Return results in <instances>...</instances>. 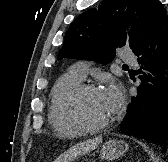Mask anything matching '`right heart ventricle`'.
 I'll return each instance as SVG.
<instances>
[{
    "label": "right heart ventricle",
    "mask_w": 168,
    "mask_h": 162,
    "mask_svg": "<svg viewBox=\"0 0 168 162\" xmlns=\"http://www.w3.org/2000/svg\"><path fill=\"white\" fill-rule=\"evenodd\" d=\"M70 69L61 75L55 82L51 95L48 117L54 132L61 137H74L80 135L83 131L71 124L62 113V102L66 94L81 83Z\"/></svg>",
    "instance_id": "obj_1"
}]
</instances>
